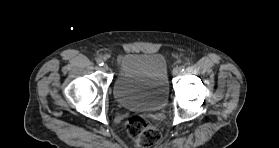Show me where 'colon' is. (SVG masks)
Masks as SVG:
<instances>
[{"instance_id": "colon-1", "label": "colon", "mask_w": 279, "mask_h": 148, "mask_svg": "<svg viewBox=\"0 0 279 148\" xmlns=\"http://www.w3.org/2000/svg\"><path fill=\"white\" fill-rule=\"evenodd\" d=\"M124 127L130 139L141 148H149L161 138L158 124L142 115L129 116L125 120Z\"/></svg>"}]
</instances>
